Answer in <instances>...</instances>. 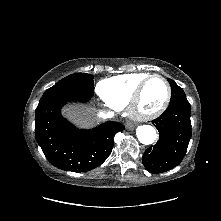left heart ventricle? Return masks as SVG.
Here are the masks:
<instances>
[{
    "label": "left heart ventricle",
    "instance_id": "b2bd125f",
    "mask_svg": "<svg viewBox=\"0 0 221 221\" xmlns=\"http://www.w3.org/2000/svg\"><path fill=\"white\" fill-rule=\"evenodd\" d=\"M166 96V86L162 80L153 78L145 87L140 109L144 112H149L159 107L164 101Z\"/></svg>",
    "mask_w": 221,
    "mask_h": 221
}]
</instances>
